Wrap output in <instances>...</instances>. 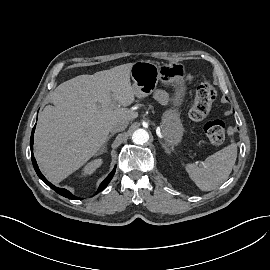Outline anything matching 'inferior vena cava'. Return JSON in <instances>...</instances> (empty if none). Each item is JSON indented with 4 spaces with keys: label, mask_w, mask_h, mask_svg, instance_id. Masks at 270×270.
<instances>
[{
    "label": "inferior vena cava",
    "mask_w": 270,
    "mask_h": 270,
    "mask_svg": "<svg viewBox=\"0 0 270 270\" xmlns=\"http://www.w3.org/2000/svg\"><path fill=\"white\" fill-rule=\"evenodd\" d=\"M127 126H128V121L115 122L111 125L110 131L112 133L120 132V131L125 130Z\"/></svg>",
    "instance_id": "602c4592"
}]
</instances>
